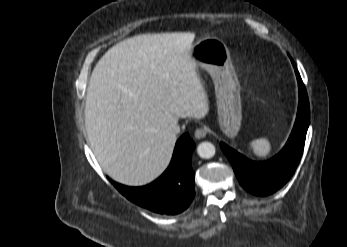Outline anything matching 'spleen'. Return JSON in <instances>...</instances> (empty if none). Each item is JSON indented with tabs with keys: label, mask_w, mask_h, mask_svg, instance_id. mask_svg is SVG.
<instances>
[{
	"label": "spleen",
	"mask_w": 347,
	"mask_h": 247,
	"mask_svg": "<svg viewBox=\"0 0 347 247\" xmlns=\"http://www.w3.org/2000/svg\"><path fill=\"white\" fill-rule=\"evenodd\" d=\"M253 153L259 158L268 157L273 151V145L269 138H259L250 143Z\"/></svg>",
	"instance_id": "1"
}]
</instances>
